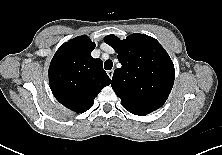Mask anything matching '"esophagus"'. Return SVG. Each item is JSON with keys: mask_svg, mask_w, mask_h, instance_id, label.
Returning a JSON list of instances; mask_svg holds the SVG:
<instances>
[{"mask_svg": "<svg viewBox=\"0 0 222 155\" xmlns=\"http://www.w3.org/2000/svg\"><path fill=\"white\" fill-rule=\"evenodd\" d=\"M113 73H114L113 70H108V71H107V74H108V76H109L110 78L113 77Z\"/></svg>", "mask_w": 222, "mask_h": 155, "instance_id": "obj_1", "label": "esophagus"}]
</instances>
